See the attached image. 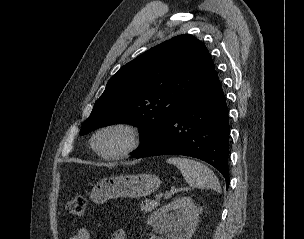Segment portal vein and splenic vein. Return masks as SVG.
Segmentation results:
<instances>
[{
    "label": "portal vein and splenic vein",
    "mask_w": 304,
    "mask_h": 239,
    "mask_svg": "<svg viewBox=\"0 0 304 239\" xmlns=\"http://www.w3.org/2000/svg\"><path fill=\"white\" fill-rule=\"evenodd\" d=\"M162 195H158L157 197L160 198ZM166 196H171L170 192H166Z\"/></svg>",
    "instance_id": "1"
}]
</instances>
